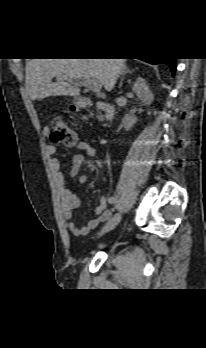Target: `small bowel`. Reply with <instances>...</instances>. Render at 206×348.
<instances>
[{
  "label": "small bowel",
  "instance_id": "obj_1",
  "mask_svg": "<svg viewBox=\"0 0 206 348\" xmlns=\"http://www.w3.org/2000/svg\"><path fill=\"white\" fill-rule=\"evenodd\" d=\"M44 134L47 135L48 131L44 130ZM75 149V154L72 159V165L69 170L70 176L79 175L80 168L84 162V156H92L95 154L96 150L94 146L85 141H78L73 144ZM46 154L49 157V166L53 175L55 185L58 189L59 196L61 199V205L64 217L68 220L67 228L75 236H85L90 230L97 228L102 222L108 220L112 212L107 208L109 200L102 196L99 205L95 209V217L90 219L86 225L78 226L71 219L73 218L75 211L79 208L81 204L80 198L72 193L66 185V179L64 173L61 171V163L58 157H56V148L51 144H46L45 146ZM88 181L85 175L79 176V183L86 184Z\"/></svg>",
  "mask_w": 206,
  "mask_h": 348
}]
</instances>
